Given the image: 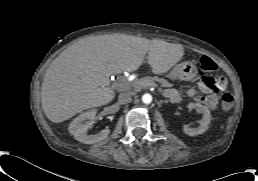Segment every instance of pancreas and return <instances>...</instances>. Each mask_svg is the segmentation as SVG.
Instances as JSON below:
<instances>
[{"label":"pancreas","mask_w":258,"mask_h":181,"mask_svg":"<svg viewBox=\"0 0 258 181\" xmlns=\"http://www.w3.org/2000/svg\"><path fill=\"white\" fill-rule=\"evenodd\" d=\"M156 82H158L161 87H172V84L168 82L166 79L144 77V78L134 80L133 86H130V88L134 87L136 89L138 88V86H150V85H154Z\"/></svg>","instance_id":"cf45deb5"}]
</instances>
